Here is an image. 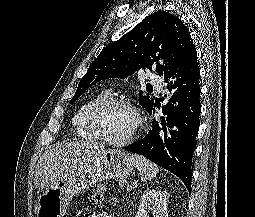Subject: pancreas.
Masks as SVG:
<instances>
[{"label": "pancreas", "mask_w": 255, "mask_h": 217, "mask_svg": "<svg viewBox=\"0 0 255 217\" xmlns=\"http://www.w3.org/2000/svg\"><path fill=\"white\" fill-rule=\"evenodd\" d=\"M125 183H126L125 180H119L118 181V184H119L120 187H123Z\"/></svg>", "instance_id": "cf45deb5"}]
</instances>
